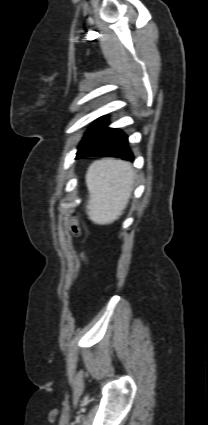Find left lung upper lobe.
<instances>
[{
    "label": "left lung upper lobe",
    "mask_w": 208,
    "mask_h": 425,
    "mask_svg": "<svg viewBox=\"0 0 208 425\" xmlns=\"http://www.w3.org/2000/svg\"><path fill=\"white\" fill-rule=\"evenodd\" d=\"M81 151H82V143L78 147L77 157L79 156Z\"/></svg>",
    "instance_id": "5c2ea615"
}]
</instances>
